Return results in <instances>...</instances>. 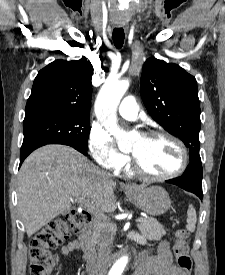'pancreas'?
Instances as JSON below:
<instances>
[{
    "label": "pancreas",
    "instance_id": "cf45deb5",
    "mask_svg": "<svg viewBox=\"0 0 225 275\" xmlns=\"http://www.w3.org/2000/svg\"><path fill=\"white\" fill-rule=\"evenodd\" d=\"M143 219L144 221H141L138 224V228L141 234L146 239L159 241L161 237L166 234V230L156 219H153V218H143ZM103 229L109 230L112 236L115 234L116 226L111 223H105L100 221L96 222L93 229L94 242H97L100 232L103 231Z\"/></svg>",
    "mask_w": 225,
    "mask_h": 275
}]
</instances>
